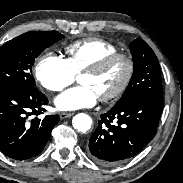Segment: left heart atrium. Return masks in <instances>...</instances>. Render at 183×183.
Returning <instances> with one entry per match:
<instances>
[{"label":"left heart atrium","mask_w":183,"mask_h":183,"mask_svg":"<svg viewBox=\"0 0 183 183\" xmlns=\"http://www.w3.org/2000/svg\"><path fill=\"white\" fill-rule=\"evenodd\" d=\"M99 96L89 86L81 85L69 89L55 99L59 110L70 111L89 108L96 104Z\"/></svg>","instance_id":"39dd6f15"}]
</instances>
